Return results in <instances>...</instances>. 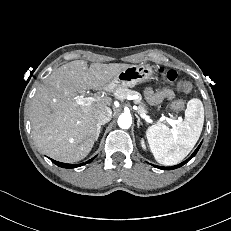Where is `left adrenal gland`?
Returning <instances> with one entry per match:
<instances>
[{"instance_id":"1","label":"left adrenal gland","mask_w":231,"mask_h":231,"mask_svg":"<svg viewBox=\"0 0 231 231\" xmlns=\"http://www.w3.org/2000/svg\"><path fill=\"white\" fill-rule=\"evenodd\" d=\"M137 117V126H138V128L140 127V125H142V123H141V121H140V118L138 117V116H136Z\"/></svg>"}]
</instances>
